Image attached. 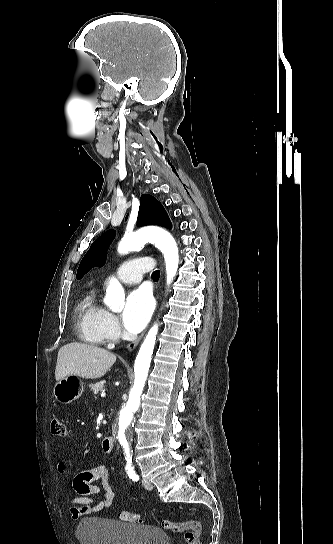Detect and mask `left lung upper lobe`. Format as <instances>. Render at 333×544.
I'll return each instance as SVG.
<instances>
[{
	"label": "left lung upper lobe",
	"mask_w": 333,
	"mask_h": 544,
	"mask_svg": "<svg viewBox=\"0 0 333 544\" xmlns=\"http://www.w3.org/2000/svg\"><path fill=\"white\" fill-rule=\"evenodd\" d=\"M137 225H159L169 229L171 228V223L165 209L161 203L151 195L141 196ZM114 236L115 232L109 230L95 240L79 265L77 279L82 278L92 267L102 266L104 264L106 250Z\"/></svg>",
	"instance_id": "5c2ea615"
}]
</instances>
